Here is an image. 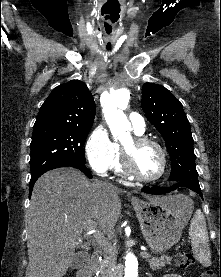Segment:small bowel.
Wrapping results in <instances>:
<instances>
[{"mask_svg":"<svg viewBox=\"0 0 221 277\" xmlns=\"http://www.w3.org/2000/svg\"><path fill=\"white\" fill-rule=\"evenodd\" d=\"M163 277H183V276H181L179 274H166Z\"/></svg>","mask_w":221,"mask_h":277,"instance_id":"1","label":"small bowel"}]
</instances>
